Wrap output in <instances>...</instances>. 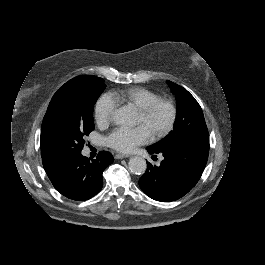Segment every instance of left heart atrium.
Here are the masks:
<instances>
[{
  "instance_id": "1",
  "label": "left heart atrium",
  "mask_w": 265,
  "mask_h": 265,
  "mask_svg": "<svg viewBox=\"0 0 265 265\" xmlns=\"http://www.w3.org/2000/svg\"><path fill=\"white\" fill-rule=\"evenodd\" d=\"M151 139L152 134L144 125L133 128L120 126L106 137L109 147L124 153L133 151L137 146L148 143Z\"/></svg>"
}]
</instances>
